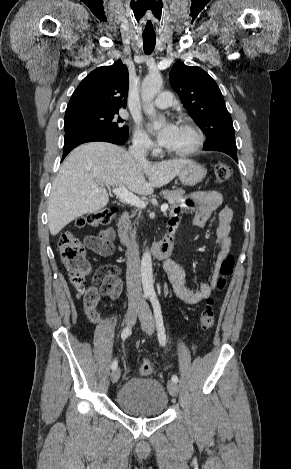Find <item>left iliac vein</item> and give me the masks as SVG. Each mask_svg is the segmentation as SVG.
I'll return each instance as SVG.
<instances>
[{
  "label": "left iliac vein",
  "instance_id": "4c4485c4",
  "mask_svg": "<svg viewBox=\"0 0 291 469\" xmlns=\"http://www.w3.org/2000/svg\"><path fill=\"white\" fill-rule=\"evenodd\" d=\"M139 318L141 321L142 328L146 332V334L152 335L155 331V320L147 304H144L142 306L139 313ZM167 387L170 395L177 396L179 388L176 382H174L173 380L168 381Z\"/></svg>",
  "mask_w": 291,
  "mask_h": 469
}]
</instances>
